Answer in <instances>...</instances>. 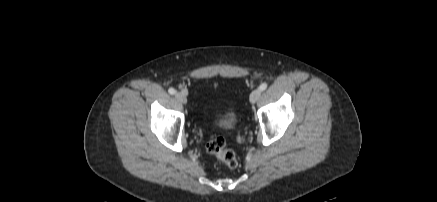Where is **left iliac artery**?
Instances as JSON below:
<instances>
[{
	"label": "left iliac artery",
	"instance_id": "obj_1",
	"mask_svg": "<svg viewBox=\"0 0 437 202\" xmlns=\"http://www.w3.org/2000/svg\"><path fill=\"white\" fill-rule=\"evenodd\" d=\"M267 88V83H262L261 85H260V87H259V89L261 90V91H264L265 89Z\"/></svg>",
	"mask_w": 437,
	"mask_h": 202
}]
</instances>
